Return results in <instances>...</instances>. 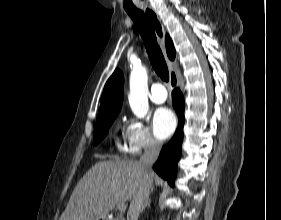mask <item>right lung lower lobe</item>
Wrapping results in <instances>:
<instances>
[{
  "instance_id": "98d812e1",
  "label": "right lung lower lobe",
  "mask_w": 281,
  "mask_h": 220,
  "mask_svg": "<svg viewBox=\"0 0 281 220\" xmlns=\"http://www.w3.org/2000/svg\"><path fill=\"white\" fill-rule=\"evenodd\" d=\"M173 106L179 117V127L170 142L163 147L153 169L170 185L174 184L177 173V163L181 156L184 125V99L179 89L172 94Z\"/></svg>"
}]
</instances>
